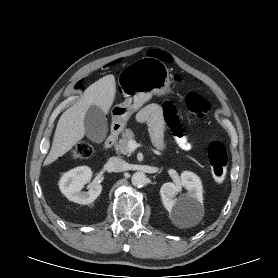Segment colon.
Wrapping results in <instances>:
<instances>
[{"label": "colon", "instance_id": "1", "mask_svg": "<svg viewBox=\"0 0 278 278\" xmlns=\"http://www.w3.org/2000/svg\"><path fill=\"white\" fill-rule=\"evenodd\" d=\"M180 81L179 77H176ZM83 84L76 85V89H82ZM188 111L195 117H202L210 109L209 102L197 93H189L185 97ZM92 146L87 142H80L75 146L73 154L75 157L85 159L91 156ZM208 160L214 180L218 183L224 181L227 173L228 156L224 145L220 141H212L207 148Z\"/></svg>", "mask_w": 278, "mask_h": 278}]
</instances>
